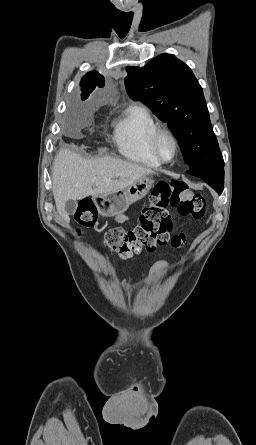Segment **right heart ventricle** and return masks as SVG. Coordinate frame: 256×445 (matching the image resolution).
Segmentation results:
<instances>
[{
	"label": "right heart ventricle",
	"instance_id": "right-heart-ventricle-1",
	"mask_svg": "<svg viewBox=\"0 0 256 445\" xmlns=\"http://www.w3.org/2000/svg\"><path fill=\"white\" fill-rule=\"evenodd\" d=\"M158 128V123L147 108L133 106L114 122L113 140L127 159L156 168L161 163L151 151V138Z\"/></svg>",
	"mask_w": 256,
	"mask_h": 445
}]
</instances>
